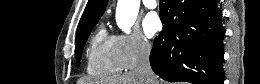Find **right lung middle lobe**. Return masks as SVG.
<instances>
[{"label": "right lung middle lobe", "instance_id": "right-lung-middle-lobe-1", "mask_svg": "<svg viewBox=\"0 0 260 84\" xmlns=\"http://www.w3.org/2000/svg\"><path fill=\"white\" fill-rule=\"evenodd\" d=\"M97 22L98 21L94 22L92 25H90L83 32H81L80 35H78L76 37L75 58L78 60V64L81 59L82 50L86 43V40H87L91 30L93 29V27L96 25Z\"/></svg>", "mask_w": 260, "mask_h": 84}]
</instances>
